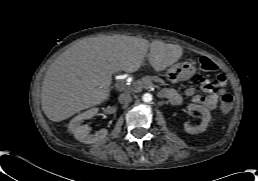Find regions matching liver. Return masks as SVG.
Instances as JSON below:
<instances>
[{"instance_id":"6515ba94","label":"liver","mask_w":258,"mask_h":181,"mask_svg":"<svg viewBox=\"0 0 258 181\" xmlns=\"http://www.w3.org/2000/svg\"><path fill=\"white\" fill-rule=\"evenodd\" d=\"M182 55L180 47L130 36H102L79 41L48 68L42 85V106L47 117L63 121L109 99L103 84L109 75L133 71L144 58L155 72L164 71Z\"/></svg>"}]
</instances>
